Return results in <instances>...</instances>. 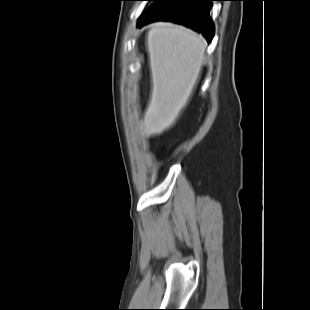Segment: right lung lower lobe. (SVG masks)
Listing matches in <instances>:
<instances>
[{"mask_svg": "<svg viewBox=\"0 0 310 310\" xmlns=\"http://www.w3.org/2000/svg\"><path fill=\"white\" fill-rule=\"evenodd\" d=\"M211 1L213 0H161L143 13L139 26L156 20L173 21L203 33L208 42H211L213 38Z\"/></svg>", "mask_w": 310, "mask_h": 310, "instance_id": "1", "label": "right lung lower lobe"}]
</instances>
